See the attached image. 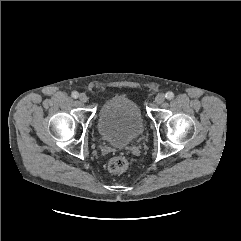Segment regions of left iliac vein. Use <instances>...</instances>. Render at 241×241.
I'll list each match as a JSON object with an SVG mask.
<instances>
[{"label": "left iliac vein", "instance_id": "obj_1", "mask_svg": "<svg viewBox=\"0 0 241 241\" xmlns=\"http://www.w3.org/2000/svg\"><path fill=\"white\" fill-rule=\"evenodd\" d=\"M165 101V95L163 93H160L156 96L155 102L157 104H162Z\"/></svg>", "mask_w": 241, "mask_h": 241}]
</instances>
